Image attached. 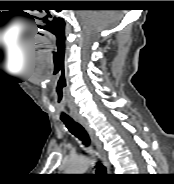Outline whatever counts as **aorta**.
<instances>
[{
    "label": "aorta",
    "mask_w": 174,
    "mask_h": 184,
    "mask_svg": "<svg viewBox=\"0 0 174 184\" xmlns=\"http://www.w3.org/2000/svg\"><path fill=\"white\" fill-rule=\"evenodd\" d=\"M89 166V161L87 158L79 157L74 159L67 168L69 174H83L86 172Z\"/></svg>",
    "instance_id": "aorta-1"
}]
</instances>
